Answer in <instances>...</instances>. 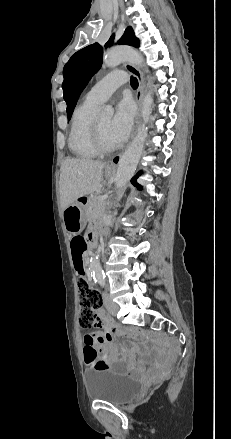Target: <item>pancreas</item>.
Segmentation results:
<instances>
[{
	"instance_id": "pancreas-1",
	"label": "pancreas",
	"mask_w": 231,
	"mask_h": 439,
	"mask_svg": "<svg viewBox=\"0 0 231 439\" xmlns=\"http://www.w3.org/2000/svg\"><path fill=\"white\" fill-rule=\"evenodd\" d=\"M105 209V202L101 200V197L94 196L89 198L87 204L83 208L84 214L88 221H92L98 218Z\"/></svg>"
}]
</instances>
